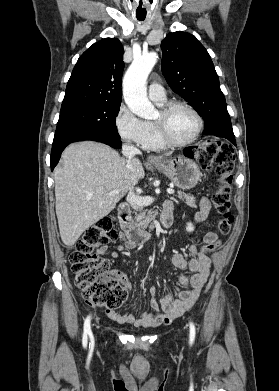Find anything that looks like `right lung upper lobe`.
I'll use <instances>...</instances> for the list:
<instances>
[{"label": "right lung upper lobe", "instance_id": "obj_1", "mask_svg": "<svg viewBox=\"0 0 279 391\" xmlns=\"http://www.w3.org/2000/svg\"><path fill=\"white\" fill-rule=\"evenodd\" d=\"M122 57L123 46L119 40L105 38L94 43L79 57L61 109L97 102L121 103Z\"/></svg>", "mask_w": 279, "mask_h": 391}]
</instances>
